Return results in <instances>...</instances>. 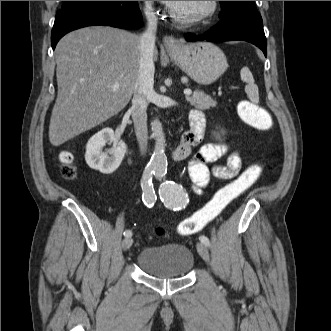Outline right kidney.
<instances>
[{"instance_id":"right-kidney-1","label":"right kidney","mask_w":331,"mask_h":331,"mask_svg":"<svg viewBox=\"0 0 331 331\" xmlns=\"http://www.w3.org/2000/svg\"><path fill=\"white\" fill-rule=\"evenodd\" d=\"M108 143H113V146L105 151ZM125 153V143L115 136L113 129L104 128L87 142L85 160L90 168L111 174L120 166Z\"/></svg>"}]
</instances>
